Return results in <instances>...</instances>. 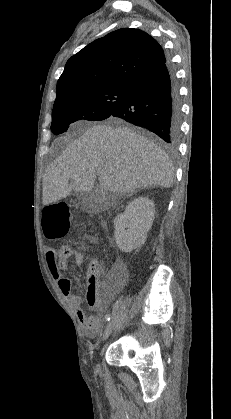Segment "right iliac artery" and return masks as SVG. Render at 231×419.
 <instances>
[{
    "mask_svg": "<svg viewBox=\"0 0 231 419\" xmlns=\"http://www.w3.org/2000/svg\"><path fill=\"white\" fill-rule=\"evenodd\" d=\"M110 318H111V317H110V315H109V314H108V315H106V320H107V321H109V320H110Z\"/></svg>",
    "mask_w": 231,
    "mask_h": 419,
    "instance_id": "right-iliac-artery-1",
    "label": "right iliac artery"
}]
</instances>
